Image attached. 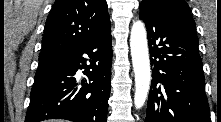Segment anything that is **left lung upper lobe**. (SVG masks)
Listing matches in <instances>:
<instances>
[{
  "mask_svg": "<svg viewBox=\"0 0 221 122\" xmlns=\"http://www.w3.org/2000/svg\"><path fill=\"white\" fill-rule=\"evenodd\" d=\"M161 3L168 10L181 9L190 14L189 7L184 0H154ZM191 15V14H190Z\"/></svg>",
  "mask_w": 221,
  "mask_h": 122,
  "instance_id": "left-lung-upper-lobe-1",
  "label": "left lung upper lobe"
}]
</instances>
